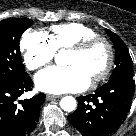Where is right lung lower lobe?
Wrapping results in <instances>:
<instances>
[{"instance_id":"1","label":"right lung lower lobe","mask_w":136,"mask_h":136,"mask_svg":"<svg viewBox=\"0 0 136 136\" xmlns=\"http://www.w3.org/2000/svg\"><path fill=\"white\" fill-rule=\"evenodd\" d=\"M31 87L29 75L14 83L0 84V136H26L36 126L45 94L19 101L21 106H17L18 98Z\"/></svg>"}]
</instances>
